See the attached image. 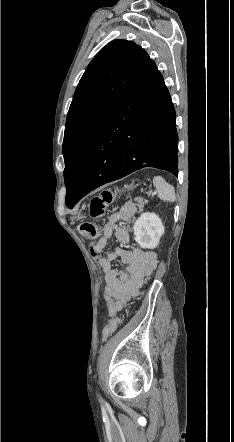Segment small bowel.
Wrapping results in <instances>:
<instances>
[{
    "mask_svg": "<svg viewBox=\"0 0 234 442\" xmlns=\"http://www.w3.org/2000/svg\"><path fill=\"white\" fill-rule=\"evenodd\" d=\"M142 207L141 201L125 203L108 218L104 227V235L91 248V255L104 274V296L110 317L125 307L131 297L136 294L144 277L150 275L157 265L154 253L145 252L138 248H126L130 242V233L121 223L131 220ZM113 235L121 247L103 256L102 251ZM116 259H120L126 264L125 271L115 270L112 267V262Z\"/></svg>",
    "mask_w": 234,
    "mask_h": 442,
    "instance_id": "obj_1",
    "label": "small bowel"
}]
</instances>
